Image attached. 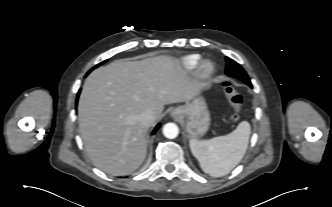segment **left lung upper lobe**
I'll return each instance as SVG.
<instances>
[{
    "mask_svg": "<svg viewBox=\"0 0 332 207\" xmlns=\"http://www.w3.org/2000/svg\"><path fill=\"white\" fill-rule=\"evenodd\" d=\"M225 73L233 78L243 81L247 85H251L250 78L244 69L234 60L226 57V71Z\"/></svg>",
    "mask_w": 332,
    "mask_h": 207,
    "instance_id": "left-lung-upper-lobe-1",
    "label": "left lung upper lobe"
}]
</instances>
